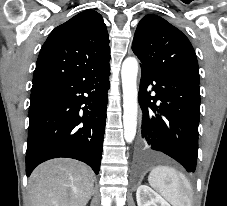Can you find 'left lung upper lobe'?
<instances>
[{
    "label": "left lung upper lobe",
    "mask_w": 227,
    "mask_h": 206,
    "mask_svg": "<svg viewBox=\"0 0 227 206\" xmlns=\"http://www.w3.org/2000/svg\"><path fill=\"white\" fill-rule=\"evenodd\" d=\"M132 50L141 66L199 83L198 62L188 38L157 15H146L137 26Z\"/></svg>",
    "instance_id": "5c2ea615"
}]
</instances>
